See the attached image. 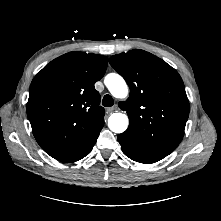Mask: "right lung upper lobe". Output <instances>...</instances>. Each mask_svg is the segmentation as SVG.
<instances>
[{"instance_id": "cb5924a9", "label": "right lung upper lobe", "mask_w": 221, "mask_h": 221, "mask_svg": "<svg viewBox=\"0 0 221 221\" xmlns=\"http://www.w3.org/2000/svg\"><path fill=\"white\" fill-rule=\"evenodd\" d=\"M108 59L83 52L66 53L34 77L27 115L40 147L55 158L81 146L104 122V108L94 84Z\"/></svg>"}]
</instances>
